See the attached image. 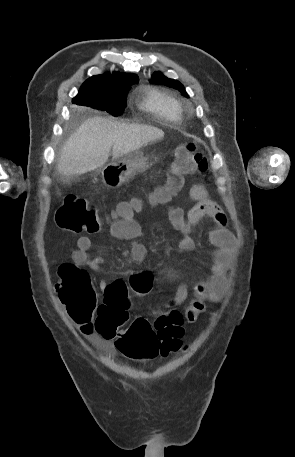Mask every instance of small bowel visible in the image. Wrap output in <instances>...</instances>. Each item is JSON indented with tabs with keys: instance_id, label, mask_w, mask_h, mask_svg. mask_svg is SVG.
Masks as SVG:
<instances>
[{
	"instance_id": "obj_1",
	"label": "small bowel",
	"mask_w": 295,
	"mask_h": 457,
	"mask_svg": "<svg viewBox=\"0 0 295 457\" xmlns=\"http://www.w3.org/2000/svg\"><path fill=\"white\" fill-rule=\"evenodd\" d=\"M190 197L196 202L195 205L185 212L181 207L169 205L166 214L174 229L180 234L179 248L184 251H191L195 247L192 238L194 227L204 218H212L217 227L209 232L208 241L213 246L211 253L212 262L209 268L210 277L201 280L193 288L195 299L190 303L184 312L185 325H192L197 322L199 316L206 310V301L218 300L225 288L226 269L230 258L231 250L235 243L232 232L227 228L228 219L222 208L209 198L207 190L200 184H195L190 189ZM110 235L119 240H132L142 233L141 225L134 219L133 214L114 220L109 227ZM92 246L91 238L81 236L77 241V249L73 252L72 258L75 264L87 266L93 271H98L104 263L101 256L90 259L88 251ZM147 256L146 247L139 242L131 244L130 259L132 262L141 264ZM120 282V281H117ZM101 290L105 291L109 284L101 281ZM189 290L186 285H180L173 298L172 305H181L188 297ZM80 332L89 338H99L93 327V322H81L72 319Z\"/></svg>"
}]
</instances>
